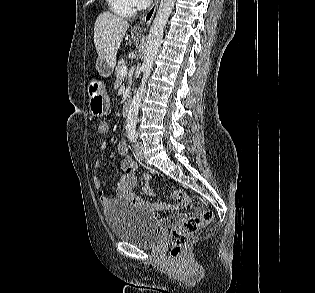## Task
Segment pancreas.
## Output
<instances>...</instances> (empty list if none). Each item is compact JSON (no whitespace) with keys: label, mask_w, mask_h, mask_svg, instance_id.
<instances>
[{"label":"pancreas","mask_w":315,"mask_h":293,"mask_svg":"<svg viewBox=\"0 0 315 293\" xmlns=\"http://www.w3.org/2000/svg\"><path fill=\"white\" fill-rule=\"evenodd\" d=\"M125 66V63L123 61H120L117 68H116V82L115 86H120L123 81V76L121 75V69Z\"/></svg>","instance_id":"cf45deb5"}]
</instances>
